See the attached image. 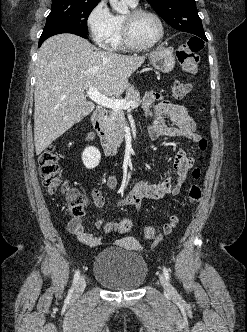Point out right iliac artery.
Here are the masks:
<instances>
[{
    "label": "right iliac artery",
    "mask_w": 247,
    "mask_h": 332,
    "mask_svg": "<svg viewBox=\"0 0 247 332\" xmlns=\"http://www.w3.org/2000/svg\"><path fill=\"white\" fill-rule=\"evenodd\" d=\"M79 277H80V271L77 270V271L75 272V275H74V278H73V286L76 285V283H77L78 280H79ZM72 291H73V288H72Z\"/></svg>",
    "instance_id": "obj_1"
}]
</instances>
